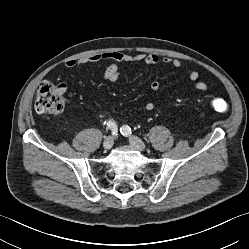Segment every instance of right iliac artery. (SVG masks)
Here are the masks:
<instances>
[{"label":"right iliac artery","mask_w":249,"mask_h":249,"mask_svg":"<svg viewBox=\"0 0 249 249\" xmlns=\"http://www.w3.org/2000/svg\"><path fill=\"white\" fill-rule=\"evenodd\" d=\"M107 128L112 130L113 134H114L116 132V130H117V125H116L115 121H113V120L108 121L107 122Z\"/></svg>","instance_id":"obj_1"}]
</instances>
